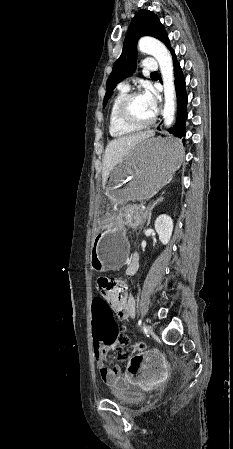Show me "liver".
Segmentation results:
<instances>
[{
    "label": "liver",
    "mask_w": 233,
    "mask_h": 449,
    "mask_svg": "<svg viewBox=\"0 0 233 449\" xmlns=\"http://www.w3.org/2000/svg\"><path fill=\"white\" fill-rule=\"evenodd\" d=\"M154 135L153 130L139 132L134 135L119 137L110 141L105 149L103 157L102 185L106 186L111 171L123 161L124 157L141 141Z\"/></svg>",
    "instance_id": "obj_1"
}]
</instances>
